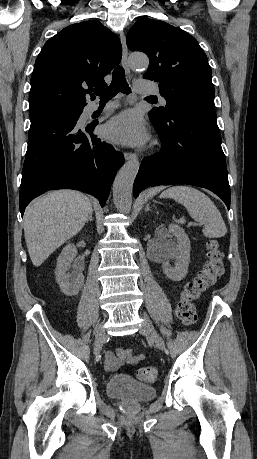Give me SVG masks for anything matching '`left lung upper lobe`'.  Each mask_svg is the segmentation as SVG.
Returning a JSON list of instances; mask_svg holds the SVG:
<instances>
[{"mask_svg": "<svg viewBox=\"0 0 257 459\" xmlns=\"http://www.w3.org/2000/svg\"><path fill=\"white\" fill-rule=\"evenodd\" d=\"M127 46L149 57L145 79L159 82L165 107L153 108V119H165L185 106L213 105L214 86L208 59L197 40L166 22L142 18L129 30Z\"/></svg>", "mask_w": 257, "mask_h": 459, "instance_id": "5c2ea615", "label": "left lung upper lobe"}]
</instances>
